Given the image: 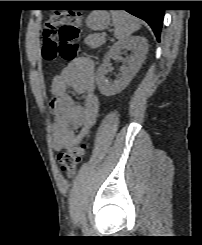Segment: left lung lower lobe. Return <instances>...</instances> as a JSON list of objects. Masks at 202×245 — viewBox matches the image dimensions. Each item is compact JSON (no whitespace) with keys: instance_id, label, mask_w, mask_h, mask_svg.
I'll return each instance as SVG.
<instances>
[{"instance_id":"0a47b994","label":"left lung lower lobe","mask_w":202,"mask_h":245,"mask_svg":"<svg viewBox=\"0 0 202 245\" xmlns=\"http://www.w3.org/2000/svg\"><path fill=\"white\" fill-rule=\"evenodd\" d=\"M104 5L113 7H126L130 14L146 21L152 28L157 40L163 24L164 10L158 8H149L152 1H102Z\"/></svg>"}]
</instances>
